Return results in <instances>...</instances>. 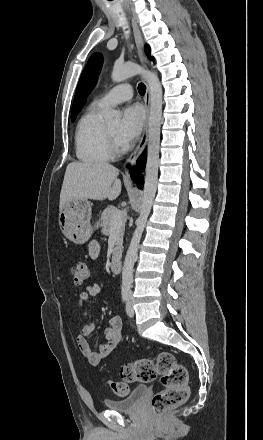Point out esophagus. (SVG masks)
<instances>
[{"label":"esophagus","mask_w":263,"mask_h":440,"mask_svg":"<svg viewBox=\"0 0 263 440\" xmlns=\"http://www.w3.org/2000/svg\"><path fill=\"white\" fill-rule=\"evenodd\" d=\"M132 27H133L134 38H135L137 53H138L140 62L143 66H146L147 60H146V56L144 53L143 38H142L140 29H139L135 19H132ZM144 108H145V122H144L142 136H141L140 141H139L138 145L136 146L135 150L131 153V155L127 159L126 166H134L136 164V161L138 160V158L142 154V152L147 144L148 125H149V110H150V87L147 83H146V93L144 96ZM124 176L127 178L130 177L129 170L127 168H125Z\"/></svg>","instance_id":"34e87169"}]
</instances>
